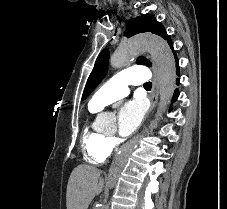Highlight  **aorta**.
Segmentation results:
<instances>
[{
  "label": "aorta",
  "instance_id": "aorta-1",
  "mask_svg": "<svg viewBox=\"0 0 227 209\" xmlns=\"http://www.w3.org/2000/svg\"><path fill=\"white\" fill-rule=\"evenodd\" d=\"M143 51H148L155 61L160 76V100L161 108L165 109L168 100L173 96L176 86V64L173 53L163 39L155 35H139L121 43L111 55L110 65L113 68H122L129 64L133 57ZM133 146L122 148L111 164L108 173L106 187L114 188L121 171L126 165ZM103 209L105 207H102Z\"/></svg>",
  "mask_w": 227,
  "mask_h": 209
}]
</instances>
